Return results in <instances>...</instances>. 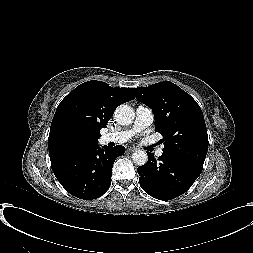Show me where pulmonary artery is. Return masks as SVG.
<instances>
[{"label": "pulmonary artery", "mask_w": 253, "mask_h": 253, "mask_svg": "<svg viewBox=\"0 0 253 253\" xmlns=\"http://www.w3.org/2000/svg\"><path fill=\"white\" fill-rule=\"evenodd\" d=\"M154 121V115L152 110L149 107L139 105L135 111V120L132 125V128L129 130H121L113 133H106L101 136V142L106 143H125L127 142L134 134L143 131L149 127ZM163 155V149L159 148L156 150V156L161 157Z\"/></svg>", "instance_id": "pulmonary-artery-1"}]
</instances>
